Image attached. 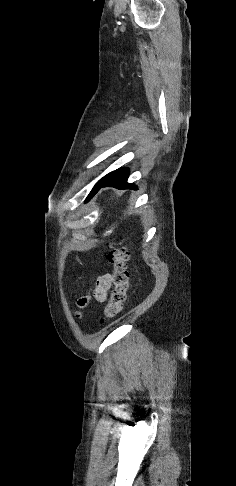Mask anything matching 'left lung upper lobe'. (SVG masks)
Returning <instances> with one entry per match:
<instances>
[{"label": "left lung upper lobe", "instance_id": "left-lung-upper-lobe-1", "mask_svg": "<svg viewBox=\"0 0 236 486\" xmlns=\"http://www.w3.org/2000/svg\"><path fill=\"white\" fill-rule=\"evenodd\" d=\"M108 176V174L106 176H104L102 179H100L96 184L95 186L93 187V189L91 190V192L89 193L87 199H86V202L89 201L97 192V188L99 186V184Z\"/></svg>", "mask_w": 236, "mask_h": 486}]
</instances>
